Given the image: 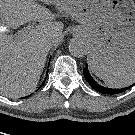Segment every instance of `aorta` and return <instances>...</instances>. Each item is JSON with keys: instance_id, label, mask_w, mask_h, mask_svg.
I'll return each instance as SVG.
<instances>
[{"instance_id": "762f6f07", "label": "aorta", "mask_w": 135, "mask_h": 135, "mask_svg": "<svg viewBox=\"0 0 135 135\" xmlns=\"http://www.w3.org/2000/svg\"><path fill=\"white\" fill-rule=\"evenodd\" d=\"M69 51L74 57L82 58L87 53V45L82 39L73 38L69 43Z\"/></svg>"}]
</instances>
